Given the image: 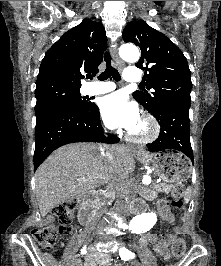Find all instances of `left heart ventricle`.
Here are the masks:
<instances>
[{"instance_id":"b2bd125f","label":"left heart ventricle","mask_w":221,"mask_h":266,"mask_svg":"<svg viewBox=\"0 0 221 266\" xmlns=\"http://www.w3.org/2000/svg\"><path fill=\"white\" fill-rule=\"evenodd\" d=\"M132 131L134 132H142L143 131V125L142 123H140L135 129H133Z\"/></svg>"}]
</instances>
